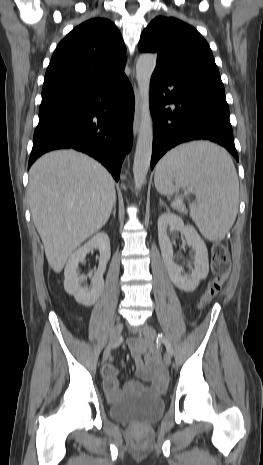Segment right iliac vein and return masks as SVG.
I'll list each match as a JSON object with an SVG mask.
<instances>
[{"label":"right iliac vein","mask_w":263,"mask_h":465,"mask_svg":"<svg viewBox=\"0 0 263 465\" xmlns=\"http://www.w3.org/2000/svg\"><path fill=\"white\" fill-rule=\"evenodd\" d=\"M123 329V323L121 321H118L117 324L114 326L112 333L110 335L109 343L107 347L104 350L103 353V362L107 361V359L110 356V352L114 344L119 340L121 332Z\"/></svg>","instance_id":"1"}]
</instances>
